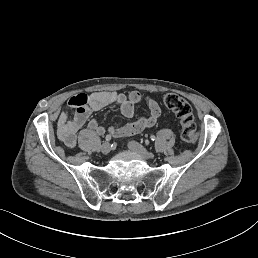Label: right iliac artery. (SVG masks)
Instances as JSON below:
<instances>
[{
	"mask_svg": "<svg viewBox=\"0 0 258 258\" xmlns=\"http://www.w3.org/2000/svg\"><path fill=\"white\" fill-rule=\"evenodd\" d=\"M105 139H106V141H111L112 136L110 134H108V135H106Z\"/></svg>",
	"mask_w": 258,
	"mask_h": 258,
	"instance_id": "82829eb1",
	"label": "right iliac artery"
}]
</instances>
